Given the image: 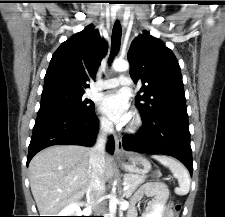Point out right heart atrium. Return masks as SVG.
I'll return each mask as SVG.
<instances>
[{
	"label": "right heart atrium",
	"mask_w": 225,
	"mask_h": 217,
	"mask_svg": "<svg viewBox=\"0 0 225 217\" xmlns=\"http://www.w3.org/2000/svg\"><path fill=\"white\" fill-rule=\"evenodd\" d=\"M99 127L103 132H109L112 128L110 121L105 117L99 118Z\"/></svg>",
	"instance_id": "d8ad5b80"
}]
</instances>
